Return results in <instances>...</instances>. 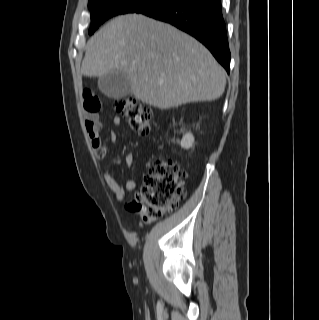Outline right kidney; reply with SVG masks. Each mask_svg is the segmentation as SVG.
I'll list each match as a JSON object with an SVG mask.
<instances>
[{"label": "right kidney", "mask_w": 319, "mask_h": 320, "mask_svg": "<svg viewBox=\"0 0 319 320\" xmlns=\"http://www.w3.org/2000/svg\"><path fill=\"white\" fill-rule=\"evenodd\" d=\"M179 143H180L181 147L184 148V149L191 148L193 146V143H194V137H193L192 133L186 132L183 135V138Z\"/></svg>", "instance_id": "1"}]
</instances>
